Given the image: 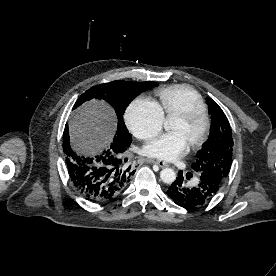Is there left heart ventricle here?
<instances>
[{"instance_id":"1","label":"left heart ventricle","mask_w":276,"mask_h":276,"mask_svg":"<svg viewBox=\"0 0 276 276\" xmlns=\"http://www.w3.org/2000/svg\"><path fill=\"white\" fill-rule=\"evenodd\" d=\"M202 126L203 123L201 120L187 123L179 118H175L171 130L181 133L186 138L189 145H191L201 133Z\"/></svg>"}]
</instances>
